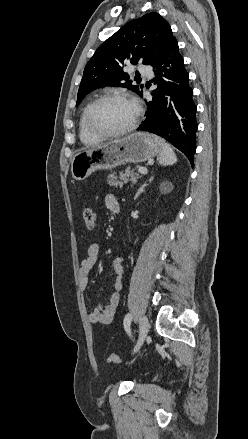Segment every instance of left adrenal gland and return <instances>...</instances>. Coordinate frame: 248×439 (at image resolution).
Wrapping results in <instances>:
<instances>
[{
	"label": "left adrenal gland",
	"instance_id": "left-adrenal-gland-1",
	"mask_svg": "<svg viewBox=\"0 0 248 439\" xmlns=\"http://www.w3.org/2000/svg\"><path fill=\"white\" fill-rule=\"evenodd\" d=\"M153 179H154V177L151 176V177L149 178L148 182H145V183H144V184L138 189L137 193L135 194L134 199H137L138 196H139L142 192H144L145 187H146L149 183H151V182L153 181Z\"/></svg>",
	"mask_w": 248,
	"mask_h": 439
}]
</instances>
